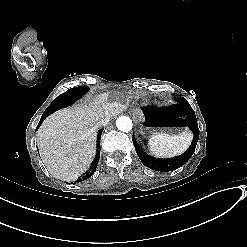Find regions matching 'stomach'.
<instances>
[{
	"label": "stomach",
	"instance_id": "obj_1",
	"mask_svg": "<svg viewBox=\"0 0 247 247\" xmlns=\"http://www.w3.org/2000/svg\"><path fill=\"white\" fill-rule=\"evenodd\" d=\"M140 123L143 134L174 135L187 130L185 117L180 114L177 105L170 103L143 107Z\"/></svg>",
	"mask_w": 247,
	"mask_h": 247
}]
</instances>
